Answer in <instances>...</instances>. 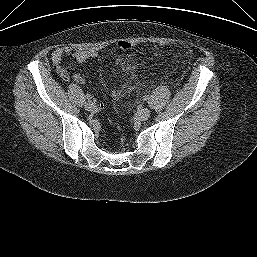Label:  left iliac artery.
<instances>
[{
  "label": "left iliac artery",
  "mask_w": 257,
  "mask_h": 257,
  "mask_svg": "<svg viewBox=\"0 0 257 257\" xmlns=\"http://www.w3.org/2000/svg\"><path fill=\"white\" fill-rule=\"evenodd\" d=\"M148 98H149L148 95L143 96L144 100H148Z\"/></svg>",
  "instance_id": "44dca946"
}]
</instances>
